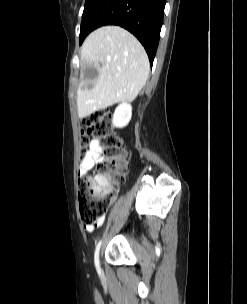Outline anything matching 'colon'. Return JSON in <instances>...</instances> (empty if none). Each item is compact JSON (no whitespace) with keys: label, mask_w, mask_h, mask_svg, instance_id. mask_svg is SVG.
<instances>
[{"label":"colon","mask_w":247,"mask_h":304,"mask_svg":"<svg viewBox=\"0 0 247 304\" xmlns=\"http://www.w3.org/2000/svg\"><path fill=\"white\" fill-rule=\"evenodd\" d=\"M91 139L100 143L104 157L95 175H84L79 179L80 215L85 225L95 224L105 214L127 174V152L122 139L113 131L112 115L108 110L95 111L83 120V157Z\"/></svg>","instance_id":"1"}]
</instances>
